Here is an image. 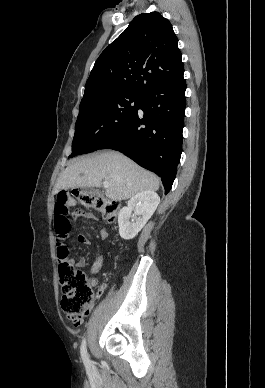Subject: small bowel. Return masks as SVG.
<instances>
[{"mask_svg": "<svg viewBox=\"0 0 265 388\" xmlns=\"http://www.w3.org/2000/svg\"><path fill=\"white\" fill-rule=\"evenodd\" d=\"M70 204L72 206H77V202L75 200H72ZM73 217L74 218L83 217V218H87V219H95L93 214H91L87 211H83V210L75 211L73 213ZM99 236L101 239H106L108 237V232H107L105 227L100 228ZM79 241H80V243H82L86 246L92 245V240L85 235L79 236ZM68 261L70 264H72L73 266H76V267H83L86 264V260L84 258H79V259L72 258V259H69ZM102 265H103V257H102V255H99V256H97V258L94 260V262L92 263V265L90 267V276L88 278V284L91 287H95L97 285L98 282H97L95 275L100 271ZM105 288H106V284H102L97 292V295H96L97 298H99L103 295ZM91 308H92V304L89 306L87 313L90 311ZM79 323L80 322H78L77 324H79Z\"/></svg>", "mask_w": 265, "mask_h": 388, "instance_id": "c3829d8e", "label": "small bowel"}]
</instances>
